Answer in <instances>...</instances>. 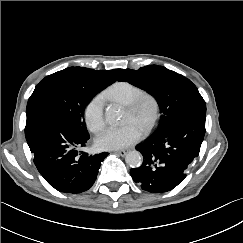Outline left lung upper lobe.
<instances>
[{"instance_id": "1", "label": "left lung upper lobe", "mask_w": 243, "mask_h": 243, "mask_svg": "<svg viewBox=\"0 0 243 243\" xmlns=\"http://www.w3.org/2000/svg\"><path fill=\"white\" fill-rule=\"evenodd\" d=\"M118 81L146 90L160 108L159 125L152 137L159 136L181 113L206 106L196 86L187 78L163 66L148 65L138 70L125 69Z\"/></svg>"}]
</instances>
